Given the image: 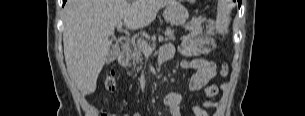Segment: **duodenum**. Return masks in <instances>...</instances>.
I'll use <instances>...</instances> for the list:
<instances>
[{
	"instance_id": "410a0bca",
	"label": "duodenum",
	"mask_w": 305,
	"mask_h": 116,
	"mask_svg": "<svg viewBox=\"0 0 305 116\" xmlns=\"http://www.w3.org/2000/svg\"><path fill=\"white\" fill-rule=\"evenodd\" d=\"M129 63V54L127 52H122L118 56V64L122 67H125Z\"/></svg>"
}]
</instances>
